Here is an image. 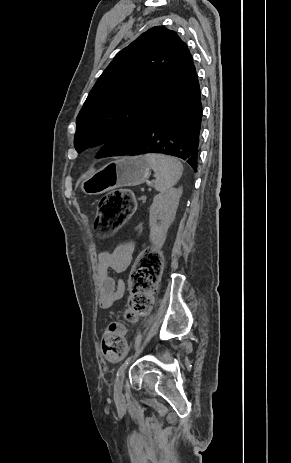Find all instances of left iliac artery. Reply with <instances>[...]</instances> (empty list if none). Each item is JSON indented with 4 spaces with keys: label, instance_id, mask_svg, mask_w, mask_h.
<instances>
[{
    "label": "left iliac artery",
    "instance_id": "44dca946",
    "mask_svg": "<svg viewBox=\"0 0 291 463\" xmlns=\"http://www.w3.org/2000/svg\"><path fill=\"white\" fill-rule=\"evenodd\" d=\"M132 357H128L125 362L119 367L118 371H117V376H119L120 374H122L124 372V370L126 369L127 365L129 364L130 360H131Z\"/></svg>",
    "mask_w": 291,
    "mask_h": 463
}]
</instances>
